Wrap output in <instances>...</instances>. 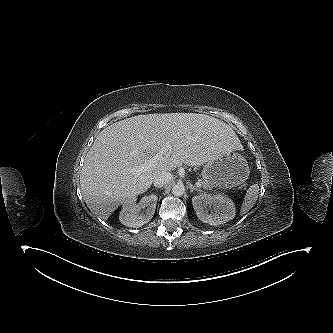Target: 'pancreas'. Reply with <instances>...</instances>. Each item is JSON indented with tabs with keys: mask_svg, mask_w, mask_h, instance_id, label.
<instances>
[{
	"mask_svg": "<svg viewBox=\"0 0 333 333\" xmlns=\"http://www.w3.org/2000/svg\"><path fill=\"white\" fill-rule=\"evenodd\" d=\"M202 186L205 189H211L212 188L211 185L208 182H205V181L202 182Z\"/></svg>",
	"mask_w": 333,
	"mask_h": 333,
	"instance_id": "cf45deb5",
	"label": "pancreas"
}]
</instances>
